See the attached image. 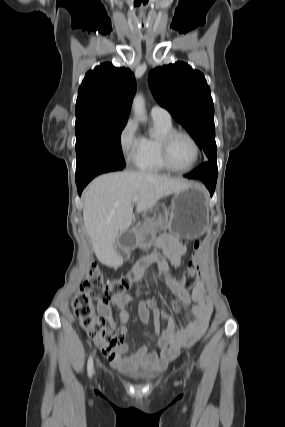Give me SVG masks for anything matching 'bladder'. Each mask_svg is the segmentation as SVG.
Instances as JSON below:
<instances>
[{"mask_svg":"<svg viewBox=\"0 0 285 427\" xmlns=\"http://www.w3.org/2000/svg\"><path fill=\"white\" fill-rule=\"evenodd\" d=\"M156 375H157L156 373H150V374H144V375H140V376L132 375V377L136 381L145 382V381H149V380L155 378Z\"/></svg>","mask_w":285,"mask_h":427,"instance_id":"obj_1","label":"bladder"}]
</instances>
